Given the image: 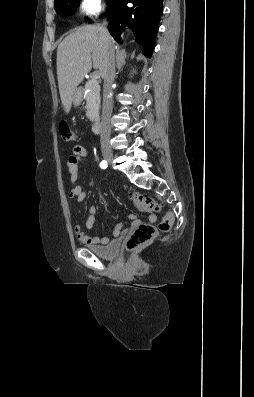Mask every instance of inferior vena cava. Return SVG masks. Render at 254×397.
I'll list each match as a JSON object with an SVG mask.
<instances>
[{"instance_id": "inferior-vena-cava-1", "label": "inferior vena cava", "mask_w": 254, "mask_h": 397, "mask_svg": "<svg viewBox=\"0 0 254 397\" xmlns=\"http://www.w3.org/2000/svg\"><path fill=\"white\" fill-rule=\"evenodd\" d=\"M102 35L107 44V61L104 71V84H103V104H102V117H101V134L100 143L102 149L110 148V134L111 125L110 118L113 109V100L111 97L112 85L115 78V52L111 44V36L106 28L104 22L101 26Z\"/></svg>"}]
</instances>
